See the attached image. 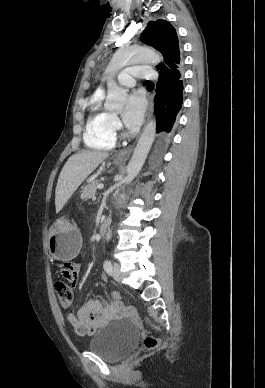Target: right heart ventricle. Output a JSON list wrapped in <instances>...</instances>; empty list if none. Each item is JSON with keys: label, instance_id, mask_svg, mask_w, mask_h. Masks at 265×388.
I'll return each mask as SVG.
<instances>
[{"label": "right heart ventricle", "instance_id": "obj_1", "mask_svg": "<svg viewBox=\"0 0 265 388\" xmlns=\"http://www.w3.org/2000/svg\"><path fill=\"white\" fill-rule=\"evenodd\" d=\"M103 98H107V91H96L92 98L84 139L95 149L108 150L115 146L116 137L110 127L112 115L103 107Z\"/></svg>", "mask_w": 265, "mask_h": 388}]
</instances>
